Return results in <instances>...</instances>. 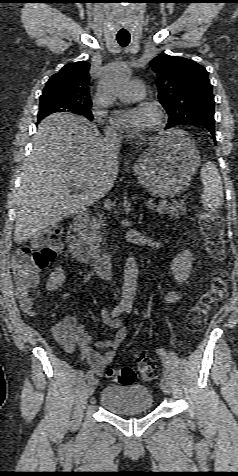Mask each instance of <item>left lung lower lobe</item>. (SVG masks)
Masks as SVG:
<instances>
[{
	"label": "left lung lower lobe",
	"mask_w": 238,
	"mask_h": 476,
	"mask_svg": "<svg viewBox=\"0 0 238 476\" xmlns=\"http://www.w3.org/2000/svg\"><path fill=\"white\" fill-rule=\"evenodd\" d=\"M199 125L205 127L206 129H208L210 131V133L212 134V139L214 140V142L216 143V138H215V126H214V122H209V121H204V122H200L198 123Z\"/></svg>",
	"instance_id": "left-lung-lower-lobe-1"
}]
</instances>
